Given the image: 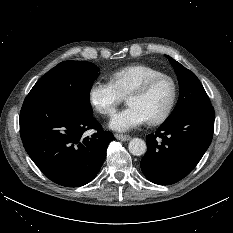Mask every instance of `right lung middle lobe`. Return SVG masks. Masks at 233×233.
I'll return each instance as SVG.
<instances>
[{
	"label": "right lung middle lobe",
	"instance_id": "1",
	"mask_svg": "<svg viewBox=\"0 0 233 233\" xmlns=\"http://www.w3.org/2000/svg\"><path fill=\"white\" fill-rule=\"evenodd\" d=\"M98 75L99 68L90 62L64 61L43 75L27 97L68 101L93 116L89 95Z\"/></svg>",
	"mask_w": 233,
	"mask_h": 233
}]
</instances>
